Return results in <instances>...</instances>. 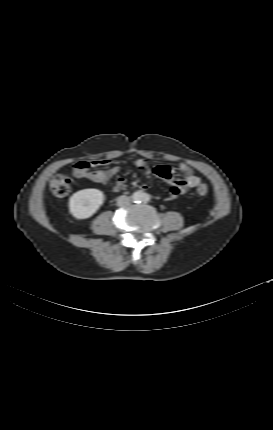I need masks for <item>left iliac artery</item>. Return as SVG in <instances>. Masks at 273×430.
Masks as SVG:
<instances>
[{"mask_svg": "<svg viewBox=\"0 0 273 430\" xmlns=\"http://www.w3.org/2000/svg\"><path fill=\"white\" fill-rule=\"evenodd\" d=\"M150 199H151V196H150L149 194H145V195L143 196L142 201H143V202H148Z\"/></svg>", "mask_w": 273, "mask_h": 430, "instance_id": "obj_1", "label": "left iliac artery"}]
</instances>
